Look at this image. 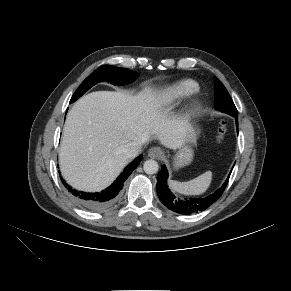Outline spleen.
<instances>
[{"label":"spleen","instance_id":"spleen-1","mask_svg":"<svg viewBox=\"0 0 291 291\" xmlns=\"http://www.w3.org/2000/svg\"><path fill=\"white\" fill-rule=\"evenodd\" d=\"M212 180V172L206 171L200 176L187 182H178L169 180L168 184L171 190L185 195H200L204 193Z\"/></svg>","mask_w":291,"mask_h":291}]
</instances>
